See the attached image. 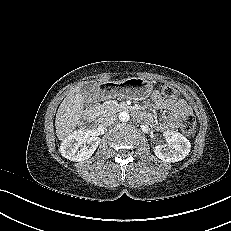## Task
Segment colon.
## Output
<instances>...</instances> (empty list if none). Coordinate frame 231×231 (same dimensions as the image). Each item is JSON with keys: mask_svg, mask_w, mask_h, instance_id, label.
<instances>
[{"mask_svg": "<svg viewBox=\"0 0 231 231\" xmlns=\"http://www.w3.org/2000/svg\"><path fill=\"white\" fill-rule=\"evenodd\" d=\"M162 93L167 98L176 97V89L170 85H166L162 89ZM179 128L184 135L192 137L196 131V120L192 114L182 117L179 121Z\"/></svg>", "mask_w": 231, "mask_h": 231, "instance_id": "obj_1", "label": "colon"}]
</instances>
